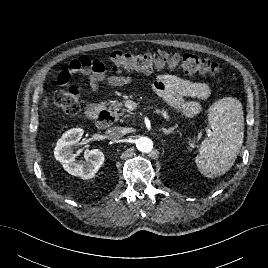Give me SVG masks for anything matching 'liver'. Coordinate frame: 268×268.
Instances as JSON below:
<instances>
[{
    "mask_svg": "<svg viewBox=\"0 0 268 268\" xmlns=\"http://www.w3.org/2000/svg\"><path fill=\"white\" fill-rule=\"evenodd\" d=\"M49 105V97L45 96L44 102H43V108L46 109Z\"/></svg>",
    "mask_w": 268,
    "mask_h": 268,
    "instance_id": "1",
    "label": "liver"
}]
</instances>
